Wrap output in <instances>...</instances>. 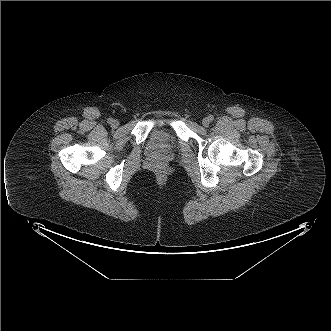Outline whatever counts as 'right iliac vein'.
<instances>
[{"label": "right iliac vein", "mask_w": 331, "mask_h": 331, "mask_svg": "<svg viewBox=\"0 0 331 331\" xmlns=\"http://www.w3.org/2000/svg\"><path fill=\"white\" fill-rule=\"evenodd\" d=\"M111 126L113 128H117L119 126V121L118 120H113V122L111 123Z\"/></svg>", "instance_id": "1"}]
</instances>
